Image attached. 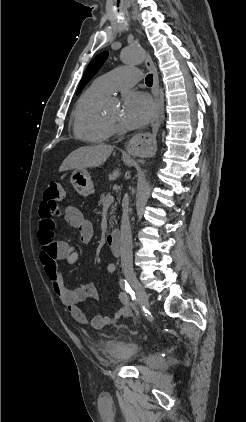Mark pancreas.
I'll return each instance as SVG.
<instances>
[{"label":"pancreas","instance_id":"pancreas-1","mask_svg":"<svg viewBox=\"0 0 246 422\" xmlns=\"http://www.w3.org/2000/svg\"><path fill=\"white\" fill-rule=\"evenodd\" d=\"M109 195H110L109 193H107V194H106V193H103V194L100 196V201H99V204L104 205V204H105V202H106V199H107V197H108ZM115 207H116V205H112V208H111V214H114ZM114 221H115V216L113 215V216L111 217L110 221H109V226H110V227H113Z\"/></svg>","mask_w":246,"mask_h":422}]
</instances>
